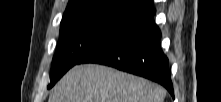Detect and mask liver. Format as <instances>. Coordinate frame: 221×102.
I'll list each match as a JSON object with an SVG mask.
<instances>
[{
	"label": "liver",
	"mask_w": 221,
	"mask_h": 102,
	"mask_svg": "<svg viewBox=\"0 0 221 102\" xmlns=\"http://www.w3.org/2000/svg\"><path fill=\"white\" fill-rule=\"evenodd\" d=\"M165 90L144 78L113 68L73 67L52 89L48 102H163Z\"/></svg>",
	"instance_id": "6515ba94"
}]
</instances>
